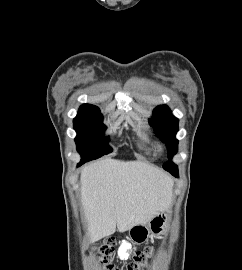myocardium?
Instances as JSON below:
<instances>
[{
  "label": "myocardium",
  "instance_id": "f54148a6",
  "mask_svg": "<svg viewBox=\"0 0 242 270\" xmlns=\"http://www.w3.org/2000/svg\"><path fill=\"white\" fill-rule=\"evenodd\" d=\"M160 150H163V146H160Z\"/></svg>",
  "mask_w": 242,
  "mask_h": 270
}]
</instances>
